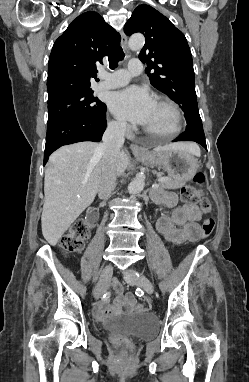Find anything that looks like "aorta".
<instances>
[{
	"mask_svg": "<svg viewBox=\"0 0 249 382\" xmlns=\"http://www.w3.org/2000/svg\"><path fill=\"white\" fill-rule=\"evenodd\" d=\"M145 43V38L141 34H136L130 37L129 47L131 50H140ZM145 176L143 174H137L133 181L128 185V192L130 194H137L144 189Z\"/></svg>",
	"mask_w": 249,
	"mask_h": 382,
	"instance_id": "1",
	"label": "aorta"
}]
</instances>
